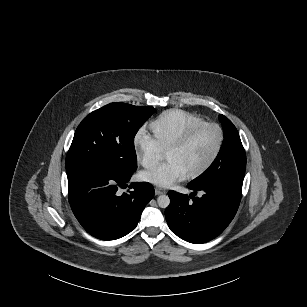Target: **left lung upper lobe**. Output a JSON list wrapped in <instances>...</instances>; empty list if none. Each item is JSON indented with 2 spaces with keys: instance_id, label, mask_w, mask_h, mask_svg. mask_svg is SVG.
<instances>
[{
  "instance_id": "1",
  "label": "left lung upper lobe",
  "mask_w": 307,
  "mask_h": 307,
  "mask_svg": "<svg viewBox=\"0 0 307 307\" xmlns=\"http://www.w3.org/2000/svg\"><path fill=\"white\" fill-rule=\"evenodd\" d=\"M219 120L224 132L221 150L213 164L188 184L192 188L223 183L242 189L246 169L245 150L233 123L224 115H219Z\"/></svg>"
}]
</instances>
